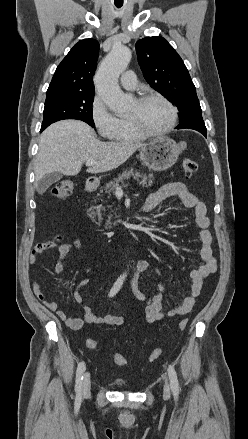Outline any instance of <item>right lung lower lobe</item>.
Segmentation results:
<instances>
[{"label": "right lung lower lobe", "mask_w": 248, "mask_h": 439, "mask_svg": "<svg viewBox=\"0 0 248 439\" xmlns=\"http://www.w3.org/2000/svg\"><path fill=\"white\" fill-rule=\"evenodd\" d=\"M46 127H41V130H40V132H42L44 129H45Z\"/></svg>", "instance_id": "obj_1"}]
</instances>
